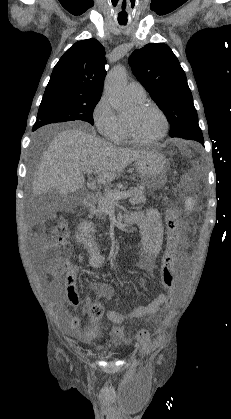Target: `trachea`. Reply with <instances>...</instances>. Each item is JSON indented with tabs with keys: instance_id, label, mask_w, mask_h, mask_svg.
<instances>
[{
	"instance_id": "3493384b",
	"label": "trachea",
	"mask_w": 231,
	"mask_h": 419,
	"mask_svg": "<svg viewBox=\"0 0 231 419\" xmlns=\"http://www.w3.org/2000/svg\"><path fill=\"white\" fill-rule=\"evenodd\" d=\"M119 24H120V25H126V23H124V22H119Z\"/></svg>"
}]
</instances>
